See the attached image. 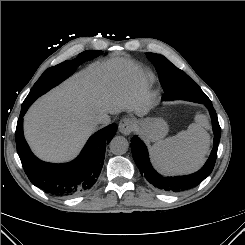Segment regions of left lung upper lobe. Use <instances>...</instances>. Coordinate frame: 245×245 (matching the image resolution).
<instances>
[{"mask_svg": "<svg viewBox=\"0 0 245 245\" xmlns=\"http://www.w3.org/2000/svg\"><path fill=\"white\" fill-rule=\"evenodd\" d=\"M147 58L158 72L164 95L199 87L185 72L178 69L163 55L148 52Z\"/></svg>", "mask_w": 245, "mask_h": 245, "instance_id": "5c2ea615", "label": "left lung upper lobe"}]
</instances>
